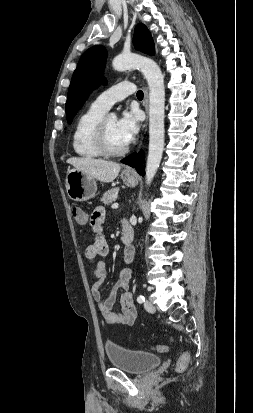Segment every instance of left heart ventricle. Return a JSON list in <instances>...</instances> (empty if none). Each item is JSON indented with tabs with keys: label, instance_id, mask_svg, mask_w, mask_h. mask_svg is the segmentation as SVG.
Masks as SVG:
<instances>
[{
	"label": "left heart ventricle",
	"instance_id": "1",
	"mask_svg": "<svg viewBox=\"0 0 253 413\" xmlns=\"http://www.w3.org/2000/svg\"><path fill=\"white\" fill-rule=\"evenodd\" d=\"M105 133H106L107 142L111 148L119 149L125 146L117 135L116 120L114 118H106Z\"/></svg>",
	"mask_w": 253,
	"mask_h": 413
}]
</instances>
